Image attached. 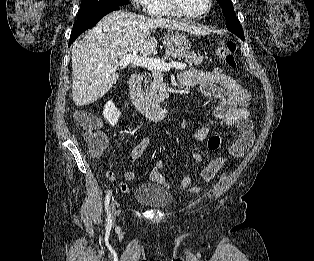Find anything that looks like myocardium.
<instances>
[{"mask_svg": "<svg viewBox=\"0 0 314 261\" xmlns=\"http://www.w3.org/2000/svg\"><path fill=\"white\" fill-rule=\"evenodd\" d=\"M168 6L173 10L175 11L177 14L183 16V17H186V18H190V19H200V18H203L205 16H207L212 8H213V3H214V0H208V6L206 8V10L202 13H198V14H193V13H190L188 11H186L179 0H166Z\"/></svg>", "mask_w": 314, "mask_h": 261, "instance_id": "obj_1", "label": "myocardium"}]
</instances>
